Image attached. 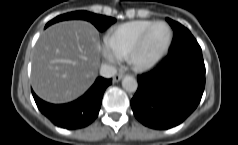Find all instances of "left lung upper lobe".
<instances>
[{
	"mask_svg": "<svg viewBox=\"0 0 238 145\" xmlns=\"http://www.w3.org/2000/svg\"><path fill=\"white\" fill-rule=\"evenodd\" d=\"M169 20H170V19H169V18H167V21H168V22H169ZM189 40H195V38L193 37V35H192V34L190 35V38H189ZM178 43H180V42H174V40H173V43H172L171 47H172V46H174V45H176V44H178Z\"/></svg>",
	"mask_w": 238,
	"mask_h": 145,
	"instance_id": "left-lung-upper-lobe-1",
	"label": "left lung upper lobe"
}]
</instances>
